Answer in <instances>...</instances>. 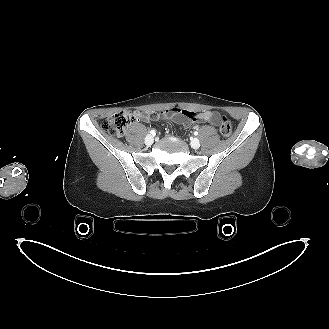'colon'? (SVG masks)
I'll use <instances>...</instances> for the list:
<instances>
[{
  "mask_svg": "<svg viewBox=\"0 0 329 329\" xmlns=\"http://www.w3.org/2000/svg\"><path fill=\"white\" fill-rule=\"evenodd\" d=\"M137 119L136 113L131 111L117 112L103 120L101 128L110 136L120 137L125 133L126 128ZM220 133L223 137L232 134V125L226 117H222Z\"/></svg>",
  "mask_w": 329,
  "mask_h": 329,
  "instance_id": "colon-1",
  "label": "colon"
}]
</instances>
